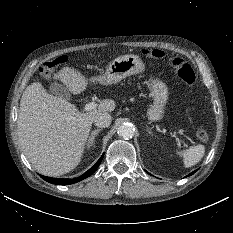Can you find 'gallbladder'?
Instances as JSON below:
<instances>
[{
	"label": "gallbladder",
	"instance_id": "gallbladder-1",
	"mask_svg": "<svg viewBox=\"0 0 233 233\" xmlns=\"http://www.w3.org/2000/svg\"><path fill=\"white\" fill-rule=\"evenodd\" d=\"M49 91L51 94L59 98L66 100L70 99V93L68 92L67 88L59 83H52L49 87Z\"/></svg>",
	"mask_w": 233,
	"mask_h": 233
}]
</instances>
